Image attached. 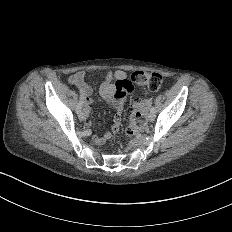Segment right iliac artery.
<instances>
[{
  "instance_id": "82829eb1",
  "label": "right iliac artery",
  "mask_w": 232,
  "mask_h": 232,
  "mask_svg": "<svg viewBox=\"0 0 232 232\" xmlns=\"http://www.w3.org/2000/svg\"><path fill=\"white\" fill-rule=\"evenodd\" d=\"M82 105H83V102L80 100L79 103L77 104L76 108H75L76 113H79V111L82 108Z\"/></svg>"
}]
</instances>
